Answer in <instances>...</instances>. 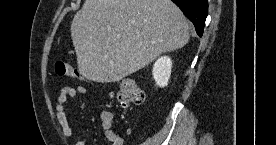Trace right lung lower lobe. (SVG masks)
<instances>
[{"label":"right lung lower lobe","instance_id":"98d812e1","mask_svg":"<svg viewBox=\"0 0 276 145\" xmlns=\"http://www.w3.org/2000/svg\"><path fill=\"white\" fill-rule=\"evenodd\" d=\"M194 24L197 34L201 37L208 12L207 0H172Z\"/></svg>","mask_w":276,"mask_h":145}]
</instances>
